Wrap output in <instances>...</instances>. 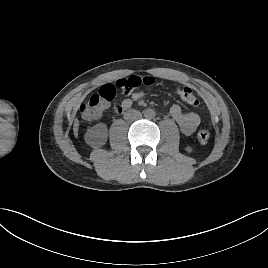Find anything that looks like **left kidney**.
Listing matches in <instances>:
<instances>
[{
    "label": "left kidney",
    "mask_w": 268,
    "mask_h": 268,
    "mask_svg": "<svg viewBox=\"0 0 268 268\" xmlns=\"http://www.w3.org/2000/svg\"><path fill=\"white\" fill-rule=\"evenodd\" d=\"M186 151H188V152H192V148H191L190 146H187V147H186Z\"/></svg>",
    "instance_id": "obj_1"
}]
</instances>
